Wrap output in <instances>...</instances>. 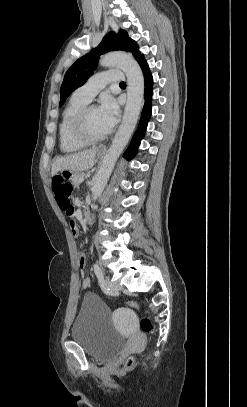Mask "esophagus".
<instances>
[{
    "label": "esophagus",
    "mask_w": 247,
    "mask_h": 407,
    "mask_svg": "<svg viewBox=\"0 0 247 407\" xmlns=\"http://www.w3.org/2000/svg\"><path fill=\"white\" fill-rule=\"evenodd\" d=\"M102 150H106V147L101 148Z\"/></svg>",
    "instance_id": "34e87169"
}]
</instances>
